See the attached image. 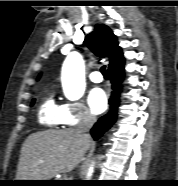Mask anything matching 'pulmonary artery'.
Listing matches in <instances>:
<instances>
[{
    "label": "pulmonary artery",
    "instance_id": "e3ab8cb5",
    "mask_svg": "<svg viewBox=\"0 0 178 186\" xmlns=\"http://www.w3.org/2000/svg\"><path fill=\"white\" fill-rule=\"evenodd\" d=\"M89 78H90L91 81H93L95 83H99L103 79L102 75L99 72H97V71L91 72L89 74Z\"/></svg>",
    "mask_w": 178,
    "mask_h": 186
}]
</instances>
